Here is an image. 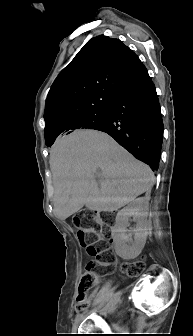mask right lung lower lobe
I'll return each instance as SVG.
<instances>
[{
    "instance_id": "98d812e1",
    "label": "right lung lower lobe",
    "mask_w": 193,
    "mask_h": 336,
    "mask_svg": "<svg viewBox=\"0 0 193 336\" xmlns=\"http://www.w3.org/2000/svg\"><path fill=\"white\" fill-rule=\"evenodd\" d=\"M99 130L152 170L158 169L163 122L155 86L143 63L112 100L107 122Z\"/></svg>"
}]
</instances>
